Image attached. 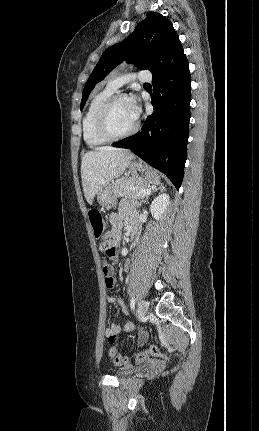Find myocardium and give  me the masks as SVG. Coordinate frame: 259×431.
<instances>
[{
	"mask_svg": "<svg viewBox=\"0 0 259 431\" xmlns=\"http://www.w3.org/2000/svg\"><path fill=\"white\" fill-rule=\"evenodd\" d=\"M121 99H127V95L124 93H113L109 96L99 107L96 117H95V126L98 134L109 140H119L130 137L134 135L139 129V122L136 120L133 127L124 132V133H116L112 130L110 124V115L113 106Z\"/></svg>",
	"mask_w": 259,
	"mask_h": 431,
	"instance_id": "myocardium-1",
	"label": "myocardium"
}]
</instances>
